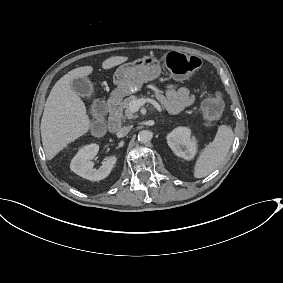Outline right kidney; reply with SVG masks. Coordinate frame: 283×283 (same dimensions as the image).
Listing matches in <instances>:
<instances>
[{
    "label": "right kidney",
    "mask_w": 283,
    "mask_h": 283,
    "mask_svg": "<svg viewBox=\"0 0 283 283\" xmlns=\"http://www.w3.org/2000/svg\"><path fill=\"white\" fill-rule=\"evenodd\" d=\"M98 151L99 147L96 144H89L80 149L71 161V170L90 181H100L106 178L116 164L117 156L110 154L99 169H94L92 160L97 157Z\"/></svg>",
    "instance_id": "obj_1"
}]
</instances>
